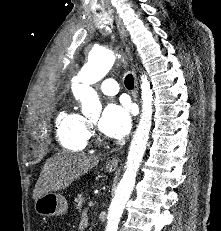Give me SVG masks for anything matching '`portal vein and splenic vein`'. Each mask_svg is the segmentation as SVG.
I'll list each match as a JSON object with an SVG mask.
<instances>
[{
    "label": "portal vein and splenic vein",
    "instance_id": "18ae733b",
    "mask_svg": "<svg viewBox=\"0 0 221 231\" xmlns=\"http://www.w3.org/2000/svg\"><path fill=\"white\" fill-rule=\"evenodd\" d=\"M88 206H89V207L93 206V202H92L91 200H89Z\"/></svg>",
    "mask_w": 221,
    "mask_h": 231
}]
</instances>
